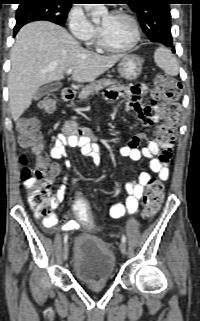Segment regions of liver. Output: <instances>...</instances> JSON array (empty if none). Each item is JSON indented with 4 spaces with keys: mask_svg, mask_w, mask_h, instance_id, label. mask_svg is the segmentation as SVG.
<instances>
[{
    "mask_svg": "<svg viewBox=\"0 0 200 321\" xmlns=\"http://www.w3.org/2000/svg\"><path fill=\"white\" fill-rule=\"evenodd\" d=\"M123 56H103L84 49L64 28L48 21L25 25L11 50L8 87L13 120L30 106L41 86L61 80L68 69H73L74 81L91 82Z\"/></svg>",
    "mask_w": 200,
    "mask_h": 321,
    "instance_id": "obj_1",
    "label": "liver"
}]
</instances>
